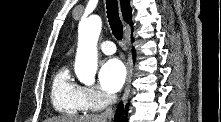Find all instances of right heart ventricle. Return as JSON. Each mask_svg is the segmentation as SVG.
<instances>
[{
  "label": "right heart ventricle",
  "mask_w": 221,
  "mask_h": 122,
  "mask_svg": "<svg viewBox=\"0 0 221 122\" xmlns=\"http://www.w3.org/2000/svg\"><path fill=\"white\" fill-rule=\"evenodd\" d=\"M51 102L54 109L64 115H78L87 110L82 99V87L76 84L67 65L55 74L51 86Z\"/></svg>",
  "instance_id": "e07e8e85"
}]
</instances>
